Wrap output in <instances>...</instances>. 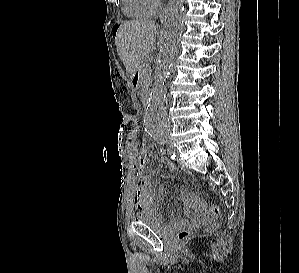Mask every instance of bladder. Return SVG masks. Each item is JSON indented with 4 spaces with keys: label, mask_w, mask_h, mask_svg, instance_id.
I'll return each mask as SVG.
<instances>
[{
    "label": "bladder",
    "mask_w": 299,
    "mask_h": 273,
    "mask_svg": "<svg viewBox=\"0 0 299 273\" xmlns=\"http://www.w3.org/2000/svg\"><path fill=\"white\" fill-rule=\"evenodd\" d=\"M135 222L138 224H144L156 231H165L167 227V222L164 218L157 212V210L145 209L138 211L135 215Z\"/></svg>",
    "instance_id": "bladder-1"
}]
</instances>
